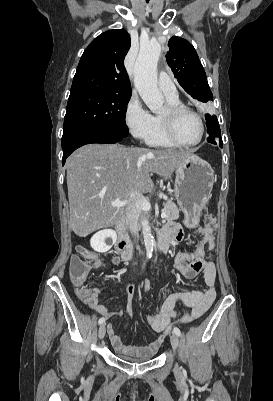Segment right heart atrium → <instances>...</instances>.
Returning <instances> with one entry per match:
<instances>
[{"instance_id": "obj_1", "label": "right heart atrium", "mask_w": 273, "mask_h": 401, "mask_svg": "<svg viewBox=\"0 0 273 401\" xmlns=\"http://www.w3.org/2000/svg\"><path fill=\"white\" fill-rule=\"evenodd\" d=\"M125 122L135 139L145 140L152 130L153 115L145 108L139 97L132 96L126 107Z\"/></svg>"}]
</instances>
